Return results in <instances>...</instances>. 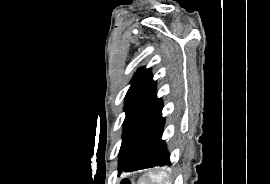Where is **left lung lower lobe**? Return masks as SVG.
I'll use <instances>...</instances> for the list:
<instances>
[{"label": "left lung lower lobe", "instance_id": "1", "mask_svg": "<svg viewBox=\"0 0 270 184\" xmlns=\"http://www.w3.org/2000/svg\"><path fill=\"white\" fill-rule=\"evenodd\" d=\"M163 107V105H162ZM162 107L147 127L137 138L121 166L118 174L122 171L131 172L140 169L170 165V155L165 142L161 139L164 118Z\"/></svg>", "mask_w": 270, "mask_h": 184}]
</instances>
